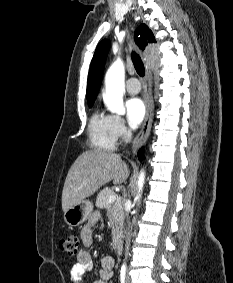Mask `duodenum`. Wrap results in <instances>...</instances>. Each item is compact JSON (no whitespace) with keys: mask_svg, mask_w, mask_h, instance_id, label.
Masks as SVG:
<instances>
[{"mask_svg":"<svg viewBox=\"0 0 233 283\" xmlns=\"http://www.w3.org/2000/svg\"><path fill=\"white\" fill-rule=\"evenodd\" d=\"M115 250L117 252V254H120L122 251V242L119 238L116 239L115 241Z\"/></svg>","mask_w":233,"mask_h":283,"instance_id":"duodenum-1","label":"duodenum"}]
</instances>
